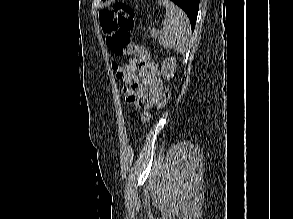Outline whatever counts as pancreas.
<instances>
[{
	"label": "pancreas",
	"instance_id": "pancreas-1",
	"mask_svg": "<svg viewBox=\"0 0 293 219\" xmlns=\"http://www.w3.org/2000/svg\"><path fill=\"white\" fill-rule=\"evenodd\" d=\"M150 34H151V37H152L153 39H156V38H157V32H156L155 30H152V31L150 32Z\"/></svg>",
	"mask_w": 293,
	"mask_h": 219
}]
</instances>
